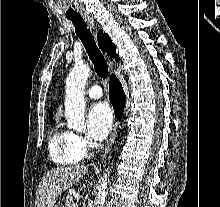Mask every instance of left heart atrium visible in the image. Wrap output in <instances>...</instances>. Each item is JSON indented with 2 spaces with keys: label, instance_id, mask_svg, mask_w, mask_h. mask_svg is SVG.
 <instances>
[{
  "label": "left heart atrium",
  "instance_id": "obj_1",
  "mask_svg": "<svg viewBox=\"0 0 220 207\" xmlns=\"http://www.w3.org/2000/svg\"><path fill=\"white\" fill-rule=\"evenodd\" d=\"M113 113L106 102L94 104L87 114V128L89 136L96 140H103L111 130Z\"/></svg>",
  "mask_w": 220,
  "mask_h": 207
}]
</instances>
